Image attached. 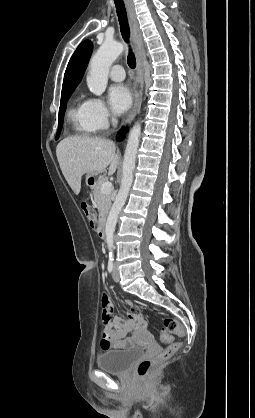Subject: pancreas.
Returning a JSON list of instances; mask_svg holds the SVG:
<instances>
[{"label": "pancreas", "mask_w": 255, "mask_h": 418, "mask_svg": "<svg viewBox=\"0 0 255 418\" xmlns=\"http://www.w3.org/2000/svg\"><path fill=\"white\" fill-rule=\"evenodd\" d=\"M106 181H108V178L105 175L101 176L93 188V202L98 208L100 219L105 218L111 206V192L106 194L101 192V186Z\"/></svg>", "instance_id": "obj_1"}]
</instances>
